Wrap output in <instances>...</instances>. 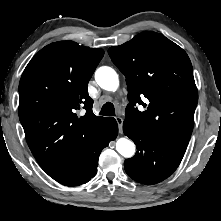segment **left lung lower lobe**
Masks as SVG:
<instances>
[{
  "label": "left lung lower lobe",
  "instance_id": "0a47b994",
  "mask_svg": "<svg viewBox=\"0 0 221 221\" xmlns=\"http://www.w3.org/2000/svg\"><path fill=\"white\" fill-rule=\"evenodd\" d=\"M123 131L134 141L138 150L135 156L125 160V171L143 184H156L169 177L186 151L185 146L160 140L132 120L125 119Z\"/></svg>",
  "mask_w": 221,
  "mask_h": 221
}]
</instances>
